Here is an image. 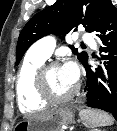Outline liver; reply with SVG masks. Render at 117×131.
Listing matches in <instances>:
<instances>
[{
    "mask_svg": "<svg viewBox=\"0 0 117 131\" xmlns=\"http://www.w3.org/2000/svg\"><path fill=\"white\" fill-rule=\"evenodd\" d=\"M56 109H51V110H47L41 113H37V114H33L32 116H29V118H40L43 117L47 114H50L51 112L55 111Z\"/></svg>",
    "mask_w": 117,
    "mask_h": 131,
    "instance_id": "1",
    "label": "liver"
}]
</instances>
